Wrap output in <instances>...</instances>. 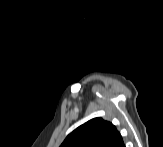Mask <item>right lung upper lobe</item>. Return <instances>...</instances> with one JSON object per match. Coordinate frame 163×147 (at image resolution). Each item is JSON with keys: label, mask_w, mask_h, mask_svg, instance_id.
I'll return each mask as SVG.
<instances>
[{"label": "right lung upper lobe", "mask_w": 163, "mask_h": 147, "mask_svg": "<svg viewBox=\"0 0 163 147\" xmlns=\"http://www.w3.org/2000/svg\"><path fill=\"white\" fill-rule=\"evenodd\" d=\"M122 141L116 127L102 118H94L71 132L60 147H116Z\"/></svg>", "instance_id": "cb5924a9"}]
</instances>
